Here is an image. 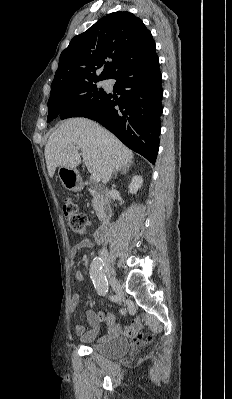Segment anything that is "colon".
Listing matches in <instances>:
<instances>
[{
  "instance_id": "colon-1",
  "label": "colon",
  "mask_w": 232,
  "mask_h": 399,
  "mask_svg": "<svg viewBox=\"0 0 232 399\" xmlns=\"http://www.w3.org/2000/svg\"><path fill=\"white\" fill-rule=\"evenodd\" d=\"M62 203V213H65L64 220H68V227H71V232H77V235H82L84 232V241H89V228L90 222L87 220V215H76L79 213V208H76V200L73 199V195H70V191H65V198Z\"/></svg>"
}]
</instances>
